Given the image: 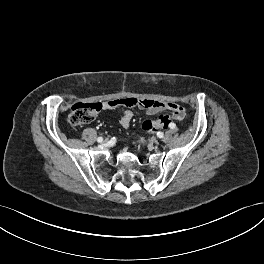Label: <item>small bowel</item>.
I'll list each match as a JSON object with an SVG mask.
<instances>
[{"label":"small bowel","instance_id":"1","mask_svg":"<svg viewBox=\"0 0 264 264\" xmlns=\"http://www.w3.org/2000/svg\"><path fill=\"white\" fill-rule=\"evenodd\" d=\"M133 106H137L144 110L148 115H154L164 110H169L173 114L175 120H182L184 117V109L176 103L162 102L150 99H136ZM132 107V106H129ZM133 118V112L130 109H125L122 112L120 124L124 128H128Z\"/></svg>","mask_w":264,"mask_h":264}]
</instances>
